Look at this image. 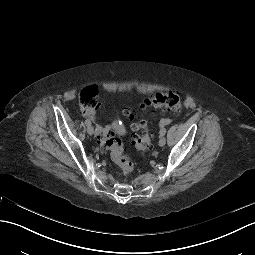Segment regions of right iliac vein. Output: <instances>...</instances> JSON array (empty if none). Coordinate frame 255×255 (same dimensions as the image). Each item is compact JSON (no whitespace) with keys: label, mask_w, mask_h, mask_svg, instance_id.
Masks as SVG:
<instances>
[{"label":"right iliac vein","mask_w":255,"mask_h":255,"mask_svg":"<svg viewBox=\"0 0 255 255\" xmlns=\"http://www.w3.org/2000/svg\"><path fill=\"white\" fill-rule=\"evenodd\" d=\"M87 132H88L89 135H93L94 134V128L91 125H89L87 127Z\"/></svg>","instance_id":"obj_1"}]
</instances>
